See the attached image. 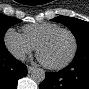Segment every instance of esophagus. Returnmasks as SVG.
Instances as JSON below:
<instances>
[{"label": "esophagus", "mask_w": 89, "mask_h": 89, "mask_svg": "<svg viewBox=\"0 0 89 89\" xmlns=\"http://www.w3.org/2000/svg\"><path fill=\"white\" fill-rule=\"evenodd\" d=\"M28 72L31 73L35 68L32 66H27Z\"/></svg>", "instance_id": "esophagus-1"}]
</instances>
